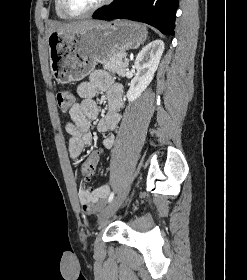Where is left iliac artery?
<instances>
[{"mask_svg":"<svg viewBox=\"0 0 247 280\" xmlns=\"http://www.w3.org/2000/svg\"><path fill=\"white\" fill-rule=\"evenodd\" d=\"M114 198V192H111L109 197H108V202H111Z\"/></svg>","mask_w":247,"mask_h":280,"instance_id":"obj_1","label":"left iliac artery"}]
</instances>
